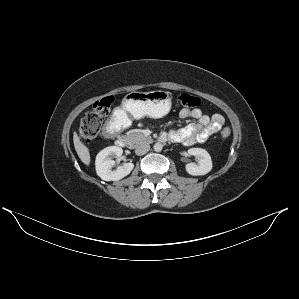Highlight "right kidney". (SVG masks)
Returning <instances> with one entry per match:
<instances>
[{
    "label": "right kidney",
    "mask_w": 299,
    "mask_h": 299,
    "mask_svg": "<svg viewBox=\"0 0 299 299\" xmlns=\"http://www.w3.org/2000/svg\"><path fill=\"white\" fill-rule=\"evenodd\" d=\"M123 153L122 148L118 146H109L101 150L95 160L97 175L104 181H118L129 175L134 168V164L124 163L116 170H112L115 165L113 158L121 157Z\"/></svg>",
    "instance_id": "1"
}]
</instances>
